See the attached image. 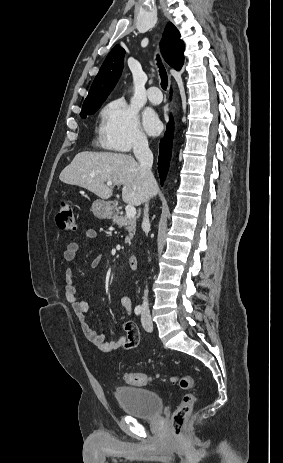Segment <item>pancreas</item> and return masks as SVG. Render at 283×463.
Segmentation results:
<instances>
[{"label": "pancreas", "instance_id": "obj_1", "mask_svg": "<svg viewBox=\"0 0 283 463\" xmlns=\"http://www.w3.org/2000/svg\"><path fill=\"white\" fill-rule=\"evenodd\" d=\"M113 224L118 225L119 228L125 227L128 231V236L125 238V243H129L133 238L136 231V218H128L127 216H114L112 219Z\"/></svg>", "mask_w": 283, "mask_h": 463}]
</instances>
